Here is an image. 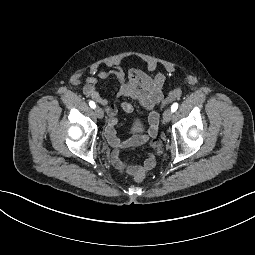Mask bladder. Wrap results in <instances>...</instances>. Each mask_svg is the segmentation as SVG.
Wrapping results in <instances>:
<instances>
[{"label":"bladder","mask_w":255,"mask_h":255,"mask_svg":"<svg viewBox=\"0 0 255 255\" xmlns=\"http://www.w3.org/2000/svg\"><path fill=\"white\" fill-rule=\"evenodd\" d=\"M131 132L134 134H139L144 130V124L140 119H135L132 122L131 128H130Z\"/></svg>","instance_id":"obj_1"}]
</instances>
